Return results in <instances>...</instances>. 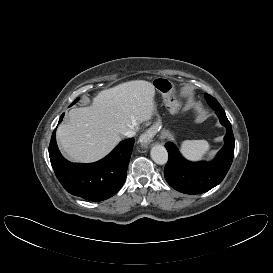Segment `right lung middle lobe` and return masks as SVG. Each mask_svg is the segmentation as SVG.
<instances>
[{"instance_id": "1", "label": "right lung middle lobe", "mask_w": 273, "mask_h": 273, "mask_svg": "<svg viewBox=\"0 0 273 273\" xmlns=\"http://www.w3.org/2000/svg\"><path fill=\"white\" fill-rule=\"evenodd\" d=\"M78 101V99H76L73 103H72V105L74 104V103H76Z\"/></svg>"}]
</instances>
